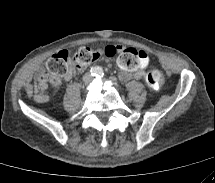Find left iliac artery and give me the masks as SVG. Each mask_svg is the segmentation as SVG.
Listing matches in <instances>:
<instances>
[{
  "label": "left iliac artery",
  "instance_id": "44dca946",
  "mask_svg": "<svg viewBox=\"0 0 215 183\" xmlns=\"http://www.w3.org/2000/svg\"><path fill=\"white\" fill-rule=\"evenodd\" d=\"M103 76H104V73H103V71H102V70H100V71H99V73H98V77H100V78H101V77H103Z\"/></svg>",
  "mask_w": 215,
  "mask_h": 183
}]
</instances>
